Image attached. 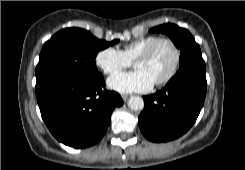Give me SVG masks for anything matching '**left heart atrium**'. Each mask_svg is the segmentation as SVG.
Segmentation results:
<instances>
[{
    "instance_id": "39dd6f15",
    "label": "left heart atrium",
    "mask_w": 245,
    "mask_h": 170,
    "mask_svg": "<svg viewBox=\"0 0 245 170\" xmlns=\"http://www.w3.org/2000/svg\"><path fill=\"white\" fill-rule=\"evenodd\" d=\"M110 88L124 93L144 92L152 88L154 81L143 70L136 69L133 72H121L111 76L108 81Z\"/></svg>"
}]
</instances>
